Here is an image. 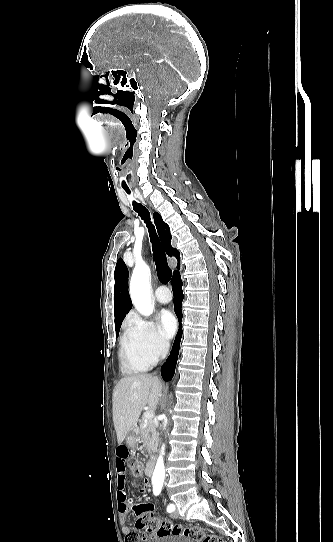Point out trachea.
<instances>
[{
  "instance_id": "trachea-1",
  "label": "trachea",
  "mask_w": 333,
  "mask_h": 542,
  "mask_svg": "<svg viewBox=\"0 0 333 542\" xmlns=\"http://www.w3.org/2000/svg\"><path fill=\"white\" fill-rule=\"evenodd\" d=\"M127 193H130L129 189H125ZM134 210L141 215L142 219H144L147 222L152 247H153V257L156 262V270L158 278L161 282L168 283L172 276V271L168 267L167 258L165 255V252L162 248V245L160 243V240L158 236L155 233L153 225L149 222V212L148 210L143 207L140 203L133 202Z\"/></svg>"
}]
</instances>
